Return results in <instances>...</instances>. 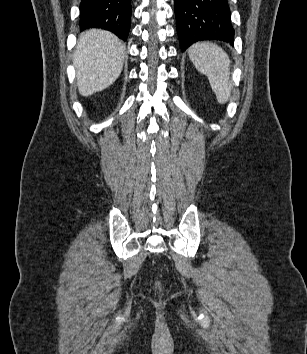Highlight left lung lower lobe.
I'll use <instances>...</instances> for the list:
<instances>
[{
  "mask_svg": "<svg viewBox=\"0 0 307 354\" xmlns=\"http://www.w3.org/2000/svg\"><path fill=\"white\" fill-rule=\"evenodd\" d=\"M181 50L201 40L234 42L227 0H174Z\"/></svg>",
  "mask_w": 307,
  "mask_h": 354,
  "instance_id": "0a47b994",
  "label": "left lung lower lobe"
}]
</instances>
